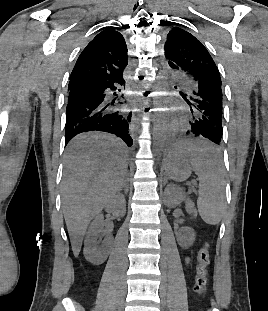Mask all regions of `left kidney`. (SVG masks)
<instances>
[{
    "label": "left kidney",
    "instance_id": "1",
    "mask_svg": "<svg viewBox=\"0 0 268 311\" xmlns=\"http://www.w3.org/2000/svg\"><path fill=\"white\" fill-rule=\"evenodd\" d=\"M165 195V204L167 207L173 208L185 201L187 202L186 206L188 212H191V206L189 205L187 198L180 187L176 185H169L165 190ZM177 241L182 248H189L195 241L194 230L190 227L181 228L177 234Z\"/></svg>",
    "mask_w": 268,
    "mask_h": 311
}]
</instances>
